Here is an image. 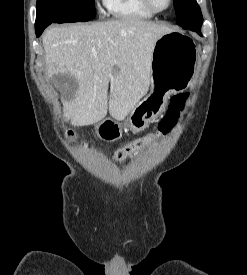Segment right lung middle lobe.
Wrapping results in <instances>:
<instances>
[{
	"label": "right lung middle lobe",
	"mask_w": 247,
	"mask_h": 275,
	"mask_svg": "<svg viewBox=\"0 0 247 275\" xmlns=\"http://www.w3.org/2000/svg\"><path fill=\"white\" fill-rule=\"evenodd\" d=\"M95 16L94 0H37L35 25L86 22Z\"/></svg>",
	"instance_id": "obj_1"
}]
</instances>
